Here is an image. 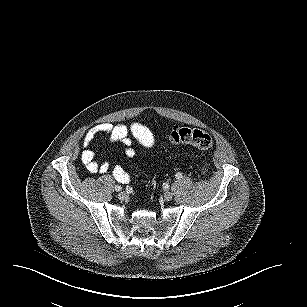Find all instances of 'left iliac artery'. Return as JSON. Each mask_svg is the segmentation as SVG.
<instances>
[{"label":"left iliac artery","mask_w":307,"mask_h":307,"mask_svg":"<svg viewBox=\"0 0 307 307\" xmlns=\"http://www.w3.org/2000/svg\"><path fill=\"white\" fill-rule=\"evenodd\" d=\"M175 177L176 179H181L183 176H182V173L178 172L176 173Z\"/></svg>","instance_id":"left-iliac-artery-1"}]
</instances>
